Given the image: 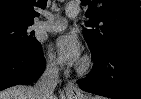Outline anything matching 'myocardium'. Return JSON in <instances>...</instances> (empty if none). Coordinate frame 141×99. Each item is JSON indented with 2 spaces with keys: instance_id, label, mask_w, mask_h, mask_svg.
Masks as SVG:
<instances>
[{
  "instance_id": "obj_1",
  "label": "myocardium",
  "mask_w": 141,
  "mask_h": 99,
  "mask_svg": "<svg viewBox=\"0 0 141 99\" xmlns=\"http://www.w3.org/2000/svg\"><path fill=\"white\" fill-rule=\"evenodd\" d=\"M93 68V60L90 57H85L78 67V72L82 75L87 74Z\"/></svg>"
}]
</instances>
